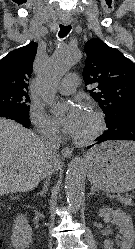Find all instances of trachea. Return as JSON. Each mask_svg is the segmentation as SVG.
I'll use <instances>...</instances> for the list:
<instances>
[{"mask_svg": "<svg viewBox=\"0 0 135 249\" xmlns=\"http://www.w3.org/2000/svg\"><path fill=\"white\" fill-rule=\"evenodd\" d=\"M71 30V26L70 25H60V31H59V37L63 38L66 37L68 35V33Z\"/></svg>", "mask_w": 135, "mask_h": 249, "instance_id": "1", "label": "trachea"}]
</instances>
